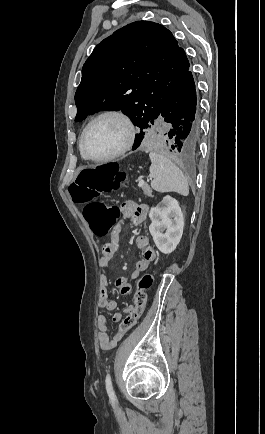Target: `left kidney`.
<instances>
[{
    "label": "left kidney",
    "mask_w": 265,
    "mask_h": 434,
    "mask_svg": "<svg viewBox=\"0 0 265 434\" xmlns=\"http://www.w3.org/2000/svg\"><path fill=\"white\" fill-rule=\"evenodd\" d=\"M149 218V232L158 250L162 254L174 252L182 238L184 226L183 214L177 200L165 196L157 208H151Z\"/></svg>",
    "instance_id": "1"
}]
</instances>
